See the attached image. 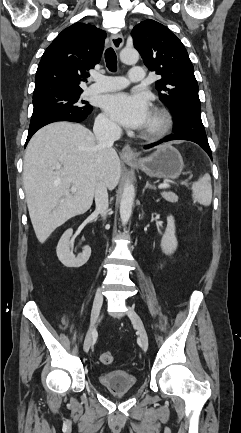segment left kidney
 Segmentation results:
<instances>
[{"mask_svg":"<svg viewBox=\"0 0 241 433\" xmlns=\"http://www.w3.org/2000/svg\"><path fill=\"white\" fill-rule=\"evenodd\" d=\"M175 232V220L173 216H168L167 228L161 240V249L167 255L174 253L178 246Z\"/></svg>","mask_w":241,"mask_h":433,"instance_id":"left-kidney-1","label":"left kidney"}]
</instances>
